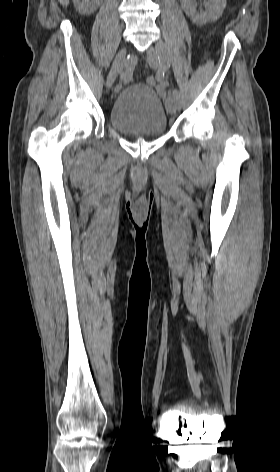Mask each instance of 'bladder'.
<instances>
[{
  "instance_id": "31cf9c89",
  "label": "bladder",
  "mask_w": 280,
  "mask_h": 472,
  "mask_svg": "<svg viewBox=\"0 0 280 472\" xmlns=\"http://www.w3.org/2000/svg\"><path fill=\"white\" fill-rule=\"evenodd\" d=\"M108 120L125 134L162 135L168 129V115L155 90L143 83L123 88L115 97Z\"/></svg>"
}]
</instances>
